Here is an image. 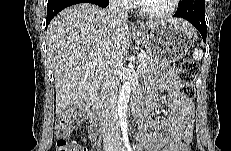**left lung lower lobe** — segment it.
Here are the masks:
<instances>
[{"mask_svg":"<svg viewBox=\"0 0 231 151\" xmlns=\"http://www.w3.org/2000/svg\"><path fill=\"white\" fill-rule=\"evenodd\" d=\"M205 0H184L174 17H180L192 23L206 42Z\"/></svg>","mask_w":231,"mask_h":151,"instance_id":"0a47b994","label":"left lung lower lobe"}]
</instances>
